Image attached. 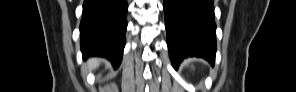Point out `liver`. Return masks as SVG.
Listing matches in <instances>:
<instances>
[{
  "label": "liver",
  "instance_id": "1",
  "mask_svg": "<svg viewBox=\"0 0 296 92\" xmlns=\"http://www.w3.org/2000/svg\"><path fill=\"white\" fill-rule=\"evenodd\" d=\"M100 59H98V58H92V59H89L88 61H87V67L90 69V70H94V69H96L98 66H99V64H100Z\"/></svg>",
  "mask_w": 296,
  "mask_h": 92
}]
</instances>
